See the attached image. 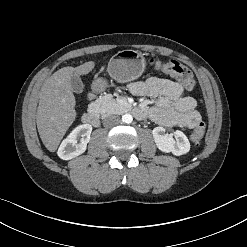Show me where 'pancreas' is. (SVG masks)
<instances>
[{
    "mask_svg": "<svg viewBox=\"0 0 247 247\" xmlns=\"http://www.w3.org/2000/svg\"><path fill=\"white\" fill-rule=\"evenodd\" d=\"M98 114L106 116L109 114L120 113L124 109V105L119 104L111 94L99 97L93 102Z\"/></svg>",
    "mask_w": 247,
    "mask_h": 247,
    "instance_id": "cf45deb5",
    "label": "pancreas"
}]
</instances>
